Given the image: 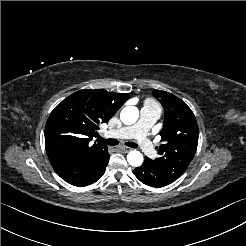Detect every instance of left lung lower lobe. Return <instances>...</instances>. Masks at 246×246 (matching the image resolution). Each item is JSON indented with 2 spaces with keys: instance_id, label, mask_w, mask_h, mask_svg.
I'll use <instances>...</instances> for the list:
<instances>
[{
  "instance_id": "left-lung-lower-lobe-1",
  "label": "left lung lower lobe",
  "mask_w": 246,
  "mask_h": 246,
  "mask_svg": "<svg viewBox=\"0 0 246 246\" xmlns=\"http://www.w3.org/2000/svg\"><path fill=\"white\" fill-rule=\"evenodd\" d=\"M134 175L151 187H163L175 181L166 171L160 169L154 160L146 157L143 165L133 170Z\"/></svg>"
}]
</instances>
